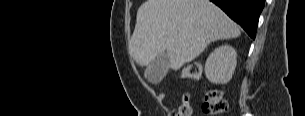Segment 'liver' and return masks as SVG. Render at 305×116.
I'll return each instance as SVG.
<instances>
[{
	"mask_svg": "<svg viewBox=\"0 0 305 116\" xmlns=\"http://www.w3.org/2000/svg\"><path fill=\"white\" fill-rule=\"evenodd\" d=\"M238 36V25L209 0H147L138 9L130 50L141 67L166 51L169 67L178 70L212 41Z\"/></svg>",
	"mask_w": 305,
	"mask_h": 116,
	"instance_id": "liver-1",
	"label": "liver"
}]
</instances>
